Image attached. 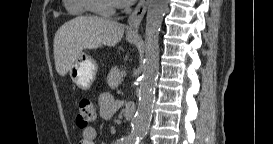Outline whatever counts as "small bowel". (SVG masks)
<instances>
[{"mask_svg":"<svg viewBox=\"0 0 273 144\" xmlns=\"http://www.w3.org/2000/svg\"><path fill=\"white\" fill-rule=\"evenodd\" d=\"M100 117L110 120L120 109V102L116 101L109 93H102L98 99ZM97 138V130L94 127H87L82 130L81 139L78 144H94Z\"/></svg>","mask_w":273,"mask_h":144,"instance_id":"small-bowel-1","label":"small bowel"}]
</instances>
